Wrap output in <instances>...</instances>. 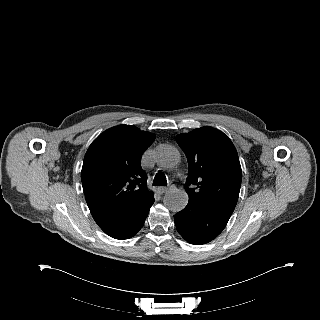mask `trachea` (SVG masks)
Returning a JSON list of instances; mask_svg holds the SVG:
<instances>
[{
	"label": "trachea",
	"mask_w": 320,
	"mask_h": 320,
	"mask_svg": "<svg viewBox=\"0 0 320 320\" xmlns=\"http://www.w3.org/2000/svg\"><path fill=\"white\" fill-rule=\"evenodd\" d=\"M153 184L155 186H161V185H167V179H166V176L163 172H158L156 175H155V178H154V182Z\"/></svg>",
	"instance_id": "1"
}]
</instances>
